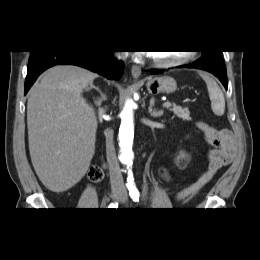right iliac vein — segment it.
Segmentation results:
<instances>
[{
  "label": "right iliac vein",
  "mask_w": 260,
  "mask_h": 260,
  "mask_svg": "<svg viewBox=\"0 0 260 260\" xmlns=\"http://www.w3.org/2000/svg\"><path fill=\"white\" fill-rule=\"evenodd\" d=\"M111 197L113 199H118L120 197V193L118 191H114L112 192Z\"/></svg>",
  "instance_id": "right-iliac-vein-1"
}]
</instances>
